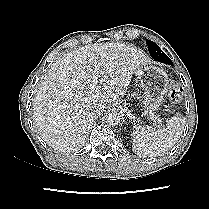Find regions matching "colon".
Wrapping results in <instances>:
<instances>
[{"instance_id": "obj_1", "label": "colon", "mask_w": 209, "mask_h": 209, "mask_svg": "<svg viewBox=\"0 0 209 209\" xmlns=\"http://www.w3.org/2000/svg\"><path fill=\"white\" fill-rule=\"evenodd\" d=\"M182 97V91L178 87H173L170 89L169 94H168V100L170 103L175 104L180 101Z\"/></svg>"}]
</instances>
